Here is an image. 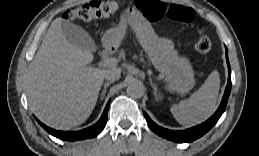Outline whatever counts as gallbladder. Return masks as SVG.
Masks as SVG:
<instances>
[{
  "instance_id": "gallbladder-1",
  "label": "gallbladder",
  "mask_w": 259,
  "mask_h": 156,
  "mask_svg": "<svg viewBox=\"0 0 259 156\" xmlns=\"http://www.w3.org/2000/svg\"><path fill=\"white\" fill-rule=\"evenodd\" d=\"M62 31L66 40L83 50L95 51L96 45L90 35L80 26L68 21L62 22Z\"/></svg>"
}]
</instances>
